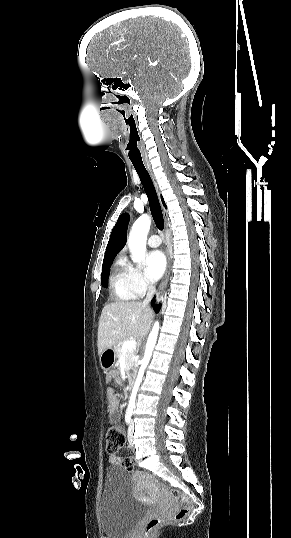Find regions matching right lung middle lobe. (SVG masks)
Returning <instances> with one entry per match:
<instances>
[{
    "instance_id": "right-lung-middle-lobe-1",
    "label": "right lung middle lobe",
    "mask_w": 291,
    "mask_h": 538,
    "mask_svg": "<svg viewBox=\"0 0 291 538\" xmlns=\"http://www.w3.org/2000/svg\"><path fill=\"white\" fill-rule=\"evenodd\" d=\"M112 262H113V259H110L108 261L103 262L102 274H101V283H102V285L104 287H107L108 277H109V274H110V267H111Z\"/></svg>"
}]
</instances>
